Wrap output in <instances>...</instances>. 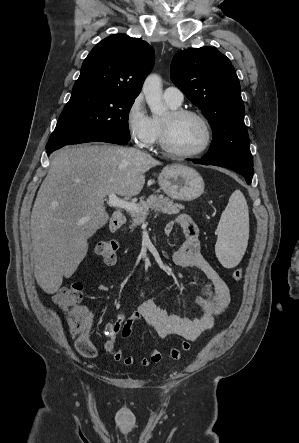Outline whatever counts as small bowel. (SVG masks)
<instances>
[{"instance_id": "obj_1", "label": "small bowel", "mask_w": 299, "mask_h": 443, "mask_svg": "<svg viewBox=\"0 0 299 443\" xmlns=\"http://www.w3.org/2000/svg\"><path fill=\"white\" fill-rule=\"evenodd\" d=\"M176 226L183 233L181 246L172 253L174 264L180 267L197 268L206 278L202 294L196 299L194 313L190 316L171 314L160 308L153 299H145L132 313L121 312L115 320L108 322L104 328L106 336L101 349L109 354L115 361L125 365H133L135 358L132 355H124L117 349L118 336L127 338L135 322L145 320L160 337L178 336L183 340L180 347L170 350V357L178 360L182 351L190 350V342L198 339L201 334L211 329L215 319L221 315L230 302V292L226 282L204 258L200 251L198 230L192 219L185 214L179 215L174 221L165 227V233L170 235ZM82 313L87 317L89 324L93 321V312L89 308H83ZM75 346L80 355L85 358H94L99 354V348L90 340L89 330L83 335L76 337ZM162 359V353L156 349L148 356L139 360L141 366H149L158 363Z\"/></svg>"}]
</instances>
